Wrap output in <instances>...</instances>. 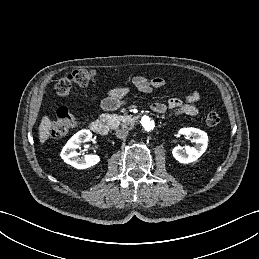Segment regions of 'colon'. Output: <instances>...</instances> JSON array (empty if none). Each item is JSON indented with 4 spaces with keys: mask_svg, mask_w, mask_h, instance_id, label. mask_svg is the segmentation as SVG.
I'll use <instances>...</instances> for the list:
<instances>
[{
    "mask_svg": "<svg viewBox=\"0 0 259 259\" xmlns=\"http://www.w3.org/2000/svg\"><path fill=\"white\" fill-rule=\"evenodd\" d=\"M95 72L89 69H77L69 72L62 77L55 85V92L61 97H68L75 85L87 86L93 82ZM58 119L50 127V136L52 138H61L65 136L75 124V117L66 107H61L57 111ZM220 115L211 111L206 116V123L209 126H216L220 123Z\"/></svg>",
    "mask_w": 259,
    "mask_h": 259,
    "instance_id": "5ec220e1",
    "label": "colon"
}]
</instances>
